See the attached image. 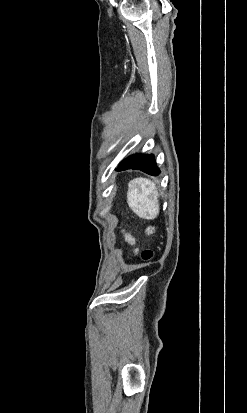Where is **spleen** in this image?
I'll use <instances>...</instances> for the list:
<instances>
[{"instance_id": "3e777b00", "label": "spleen", "mask_w": 247, "mask_h": 413, "mask_svg": "<svg viewBox=\"0 0 247 413\" xmlns=\"http://www.w3.org/2000/svg\"><path fill=\"white\" fill-rule=\"evenodd\" d=\"M127 202L139 217H147L150 213L152 215V211H158V192L154 182L142 176L129 180Z\"/></svg>"}]
</instances>
